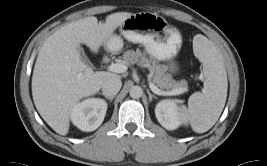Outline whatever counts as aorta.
<instances>
[{
  "label": "aorta",
  "mask_w": 267,
  "mask_h": 166,
  "mask_svg": "<svg viewBox=\"0 0 267 166\" xmlns=\"http://www.w3.org/2000/svg\"><path fill=\"white\" fill-rule=\"evenodd\" d=\"M143 89L140 86H132L129 91V95L134 98L138 99L142 96Z\"/></svg>",
  "instance_id": "obj_1"
}]
</instances>
